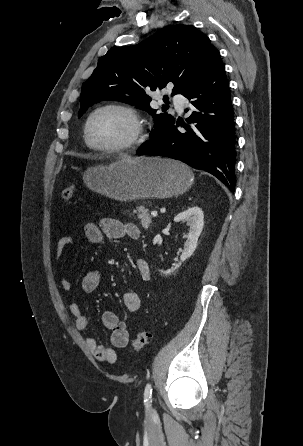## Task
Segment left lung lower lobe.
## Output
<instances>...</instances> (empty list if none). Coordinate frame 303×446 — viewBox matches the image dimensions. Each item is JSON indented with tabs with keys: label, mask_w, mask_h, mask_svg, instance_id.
<instances>
[{
	"label": "left lung lower lobe",
	"mask_w": 303,
	"mask_h": 446,
	"mask_svg": "<svg viewBox=\"0 0 303 446\" xmlns=\"http://www.w3.org/2000/svg\"><path fill=\"white\" fill-rule=\"evenodd\" d=\"M191 100L192 114L186 119L192 125L172 121L137 150V155H158L180 160L204 170L235 191V132L233 105L224 64L217 53L196 83L182 94Z\"/></svg>",
	"instance_id": "obj_1"
}]
</instances>
